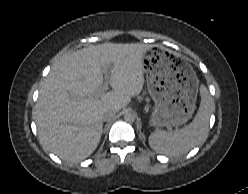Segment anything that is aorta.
I'll return each mask as SVG.
<instances>
[{
    "mask_svg": "<svg viewBox=\"0 0 248 194\" xmlns=\"http://www.w3.org/2000/svg\"><path fill=\"white\" fill-rule=\"evenodd\" d=\"M124 120L126 121V122H134V120H135V114L134 113H132V112H126L125 114H124Z\"/></svg>",
    "mask_w": 248,
    "mask_h": 194,
    "instance_id": "obj_1",
    "label": "aorta"
}]
</instances>
